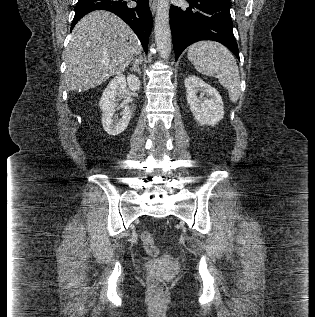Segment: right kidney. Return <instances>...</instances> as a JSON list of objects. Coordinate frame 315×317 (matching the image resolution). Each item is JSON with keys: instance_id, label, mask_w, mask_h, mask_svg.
I'll use <instances>...</instances> for the list:
<instances>
[{"instance_id": "right-kidney-1", "label": "right kidney", "mask_w": 315, "mask_h": 317, "mask_svg": "<svg viewBox=\"0 0 315 317\" xmlns=\"http://www.w3.org/2000/svg\"><path fill=\"white\" fill-rule=\"evenodd\" d=\"M127 85L131 91L140 89V80L134 75H129L127 78L124 75H117L112 79L104 90L99 102L102 110V125L104 130L112 136L122 133L128 126L131 118V110L128 105L122 104L121 118H115L117 107V97H121L127 93Z\"/></svg>"}]
</instances>
